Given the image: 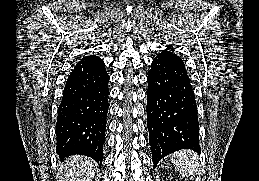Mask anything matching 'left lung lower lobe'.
Segmentation results:
<instances>
[{
  "mask_svg": "<svg viewBox=\"0 0 259 181\" xmlns=\"http://www.w3.org/2000/svg\"><path fill=\"white\" fill-rule=\"evenodd\" d=\"M147 89V128L154 166L170 153H200L194 91L182 59L164 50L151 64Z\"/></svg>",
  "mask_w": 259,
  "mask_h": 181,
  "instance_id": "left-lung-lower-lobe-1",
  "label": "left lung lower lobe"
}]
</instances>
